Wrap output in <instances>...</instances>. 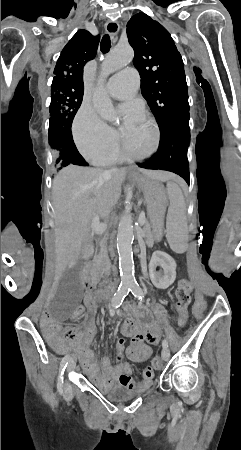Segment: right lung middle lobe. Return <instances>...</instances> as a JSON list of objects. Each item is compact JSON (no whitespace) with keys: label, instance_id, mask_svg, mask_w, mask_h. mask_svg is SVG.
Here are the masks:
<instances>
[{"label":"right lung middle lobe","instance_id":"dd1d6c3e","mask_svg":"<svg viewBox=\"0 0 241 450\" xmlns=\"http://www.w3.org/2000/svg\"><path fill=\"white\" fill-rule=\"evenodd\" d=\"M84 88L68 84L51 85V103L49 106V140L52 149L54 170H61L69 165L66 155L65 140L72 138L70 127L79 109Z\"/></svg>","mask_w":241,"mask_h":450}]
</instances>
